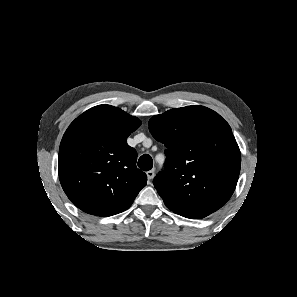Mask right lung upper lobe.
I'll return each instance as SVG.
<instances>
[{"label":"right lung upper lobe","instance_id":"right-lung-upper-lobe-1","mask_svg":"<svg viewBox=\"0 0 297 297\" xmlns=\"http://www.w3.org/2000/svg\"><path fill=\"white\" fill-rule=\"evenodd\" d=\"M141 121L110 105L95 106L76 118L59 149V178L71 202L82 211L108 217L121 213L145 187L137 153L126 139Z\"/></svg>","mask_w":297,"mask_h":297}]
</instances>
